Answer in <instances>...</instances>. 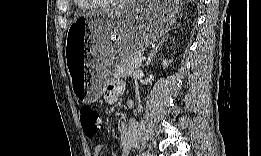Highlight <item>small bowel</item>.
<instances>
[{"instance_id": "obj_1", "label": "small bowel", "mask_w": 261, "mask_h": 156, "mask_svg": "<svg viewBox=\"0 0 261 156\" xmlns=\"http://www.w3.org/2000/svg\"><path fill=\"white\" fill-rule=\"evenodd\" d=\"M123 90V85L119 82L109 83L105 89V98L108 102L112 103L116 96L119 95ZM121 140L120 149L121 156H128L132 150L137 145L138 132L137 123L135 120H130L128 123H123L121 127ZM112 155H116L115 149L112 146ZM104 152V147L98 144L94 147L92 155L101 156Z\"/></svg>"}]
</instances>
